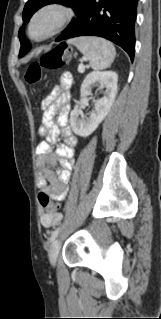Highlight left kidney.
Here are the masks:
<instances>
[{"instance_id":"obj_1","label":"left kidney","mask_w":161,"mask_h":319,"mask_svg":"<svg viewBox=\"0 0 161 319\" xmlns=\"http://www.w3.org/2000/svg\"><path fill=\"white\" fill-rule=\"evenodd\" d=\"M117 81L118 76L113 71H93L85 77L81 85L82 99L90 95L93 86L105 88V92L102 98L95 101L94 108L88 116H83L79 103L75 105L70 114V125L75 134L87 137L96 130L114 103L118 90Z\"/></svg>"}]
</instances>
